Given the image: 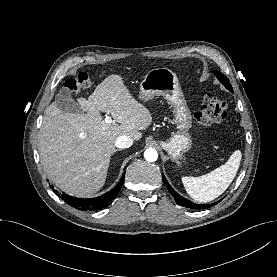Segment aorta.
Returning <instances> with one entry per match:
<instances>
[{
    "mask_svg": "<svg viewBox=\"0 0 277 277\" xmlns=\"http://www.w3.org/2000/svg\"><path fill=\"white\" fill-rule=\"evenodd\" d=\"M144 157L149 162H154L158 158V153L155 149L149 148L144 152Z\"/></svg>",
    "mask_w": 277,
    "mask_h": 277,
    "instance_id": "obj_1",
    "label": "aorta"
}]
</instances>
